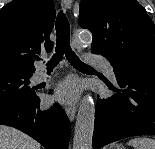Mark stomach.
Instances as JSON below:
<instances>
[{"label": "stomach", "instance_id": "0dacf381", "mask_svg": "<svg viewBox=\"0 0 155 149\" xmlns=\"http://www.w3.org/2000/svg\"><path fill=\"white\" fill-rule=\"evenodd\" d=\"M110 149H125L122 145L116 144L113 145Z\"/></svg>", "mask_w": 155, "mask_h": 149}]
</instances>
